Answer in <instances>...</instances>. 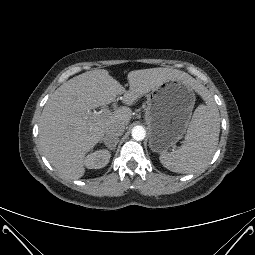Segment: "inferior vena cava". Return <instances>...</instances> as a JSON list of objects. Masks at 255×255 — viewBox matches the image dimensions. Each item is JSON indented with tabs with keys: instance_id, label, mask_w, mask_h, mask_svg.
Returning <instances> with one entry per match:
<instances>
[{
	"instance_id": "1",
	"label": "inferior vena cava",
	"mask_w": 255,
	"mask_h": 255,
	"mask_svg": "<svg viewBox=\"0 0 255 255\" xmlns=\"http://www.w3.org/2000/svg\"><path fill=\"white\" fill-rule=\"evenodd\" d=\"M125 130L124 125L122 124H111L105 130L104 141L108 146H113L116 142L119 141V137L123 135Z\"/></svg>"
}]
</instances>
